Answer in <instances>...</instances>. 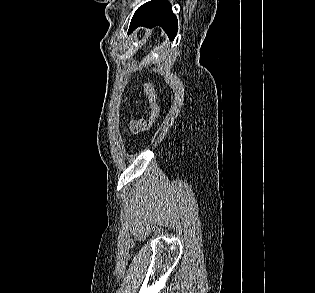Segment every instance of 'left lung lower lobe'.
Returning <instances> with one entry per match:
<instances>
[{"mask_svg": "<svg viewBox=\"0 0 315 293\" xmlns=\"http://www.w3.org/2000/svg\"><path fill=\"white\" fill-rule=\"evenodd\" d=\"M162 26L170 39L176 36L178 26L177 18L166 0H152L140 6L130 23L129 33L139 26L153 28Z\"/></svg>", "mask_w": 315, "mask_h": 293, "instance_id": "obj_1", "label": "left lung lower lobe"}]
</instances>
